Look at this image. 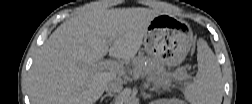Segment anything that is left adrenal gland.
Masks as SVG:
<instances>
[{"instance_id":"obj_1","label":"left adrenal gland","mask_w":252,"mask_h":104,"mask_svg":"<svg viewBox=\"0 0 252 104\" xmlns=\"http://www.w3.org/2000/svg\"><path fill=\"white\" fill-rule=\"evenodd\" d=\"M150 91H159L160 88L158 86H154L152 88L149 89Z\"/></svg>"}]
</instances>
